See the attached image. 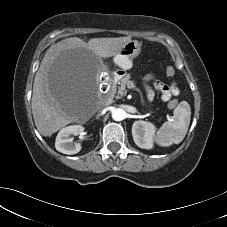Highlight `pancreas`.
<instances>
[{"label":"pancreas","mask_w":227,"mask_h":227,"mask_svg":"<svg viewBox=\"0 0 227 227\" xmlns=\"http://www.w3.org/2000/svg\"><path fill=\"white\" fill-rule=\"evenodd\" d=\"M116 83L119 86H118V90L116 92V96L115 97L116 98H122L127 93L126 88L130 84V74L125 75L122 79L118 80Z\"/></svg>","instance_id":"cf45deb5"}]
</instances>
